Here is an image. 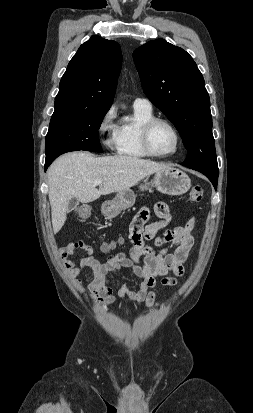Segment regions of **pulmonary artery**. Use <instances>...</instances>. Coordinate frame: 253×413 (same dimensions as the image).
Segmentation results:
<instances>
[{
    "instance_id": "1",
    "label": "pulmonary artery",
    "mask_w": 253,
    "mask_h": 413,
    "mask_svg": "<svg viewBox=\"0 0 253 413\" xmlns=\"http://www.w3.org/2000/svg\"><path fill=\"white\" fill-rule=\"evenodd\" d=\"M133 106L143 108V109H149V110L152 109L151 102L146 98H140V97L134 100Z\"/></svg>"
}]
</instances>
